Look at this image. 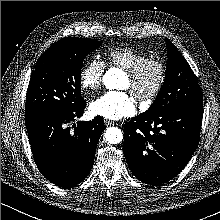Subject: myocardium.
Wrapping results in <instances>:
<instances>
[{
    "mask_svg": "<svg viewBox=\"0 0 220 220\" xmlns=\"http://www.w3.org/2000/svg\"><path fill=\"white\" fill-rule=\"evenodd\" d=\"M151 67H154L157 70V78L152 87L148 89L138 88L136 90H133V93L136 95L138 99L146 102H152L164 87L167 76L165 63L159 58L149 57L137 64L132 69L127 70L126 72V75L133 82H138L139 80H141L145 72Z\"/></svg>",
    "mask_w": 220,
    "mask_h": 220,
    "instance_id": "1",
    "label": "myocardium"
}]
</instances>
